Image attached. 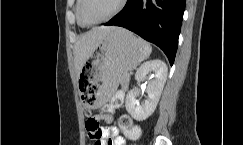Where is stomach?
<instances>
[{
    "mask_svg": "<svg viewBox=\"0 0 243 145\" xmlns=\"http://www.w3.org/2000/svg\"><path fill=\"white\" fill-rule=\"evenodd\" d=\"M150 45L130 31L117 28L111 31L88 59L78 79L82 88L79 102L88 109L104 106L117 90L121 76L135 69L149 57Z\"/></svg>",
    "mask_w": 243,
    "mask_h": 145,
    "instance_id": "stomach-1",
    "label": "stomach"
}]
</instances>
